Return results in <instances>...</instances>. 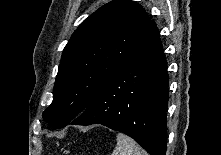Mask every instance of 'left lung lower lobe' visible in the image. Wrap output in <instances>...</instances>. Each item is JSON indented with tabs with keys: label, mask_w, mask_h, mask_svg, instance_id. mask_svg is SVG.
Returning a JSON list of instances; mask_svg holds the SVG:
<instances>
[{
	"label": "left lung lower lobe",
	"mask_w": 221,
	"mask_h": 155,
	"mask_svg": "<svg viewBox=\"0 0 221 155\" xmlns=\"http://www.w3.org/2000/svg\"><path fill=\"white\" fill-rule=\"evenodd\" d=\"M167 103V61L155 28L70 124H102L132 137L150 155H165Z\"/></svg>",
	"instance_id": "left-lung-lower-lobe-1"
}]
</instances>
